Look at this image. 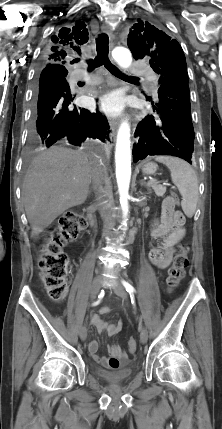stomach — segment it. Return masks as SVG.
<instances>
[{
	"label": "stomach",
	"mask_w": 222,
	"mask_h": 429,
	"mask_svg": "<svg viewBox=\"0 0 222 429\" xmlns=\"http://www.w3.org/2000/svg\"><path fill=\"white\" fill-rule=\"evenodd\" d=\"M157 171V165L154 162H146L142 165V172L145 175L155 174Z\"/></svg>",
	"instance_id": "0dacf381"
}]
</instances>
